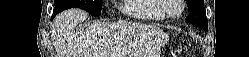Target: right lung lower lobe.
I'll return each mask as SVG.
<instances>
[{
	"label": "right lung lower lobe",
	"instance_id": "right-lung-lower-lobe-1",
	"mask_svg": "<svg viewBox=\"0 0 249 57\" xmlns=\"http://www.w3.org/2000/svg\"><path fill=\"white\" fill-rule=\"evenodd\" d=\"M59 12H60L59 10H54L53 11L54 16L57 15ZM54 16L51 18V20H53Z\"/></svg>",
	"mask_w": 249,
	"mask_h": 57
}]
</instances>
